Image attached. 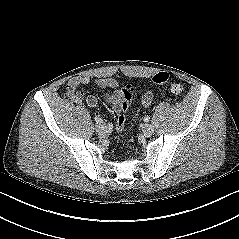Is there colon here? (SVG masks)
<instances>
[{
    "label": "colon",
    "mask_w": 239,
    "mask_h": 239,
    "mask_svg": "<svg viewBox=\"0 0 239 239\" xmlns=\"http://www.w3.org/2000/svg\"><path fill=\"white\" fill-rule=\"evenodd\" d=\"M169 74L166 72H158L152 77V82L157 85H163L166 84L169 81ZM170 89L172 93L178 96H182L184 94V87L178 83V82H172L170 85ZM68 95L72 97L75 100L81 99V94L77 91V88L73 85L68 86ZM134 96V89L131 85H126L122 89V97L123 101L121 104V112L117 116L116 119V132L118 134V137L121 135V133L124 131L125 124H126V115L125 112L127 111L132 99Z\"/></svg>",
    "instance_id": "obj_1"
}]
</instances>
